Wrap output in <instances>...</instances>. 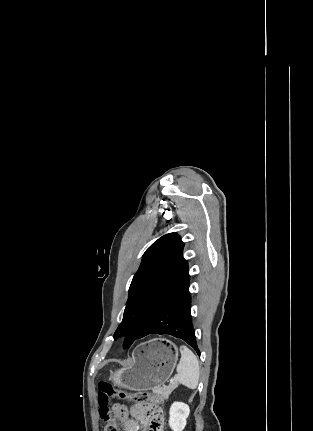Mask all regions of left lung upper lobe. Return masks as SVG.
Returning <instances> with one entry per match:
<instances>
[{
    "mask_svg": "<svg viewBox=\"0 0 313 431\" xmlns=\"http://www.w3.org/2000/svg\"><path fill=\"white\" fill-rule=\"evenodd\" d=\"M183 247L180 236L169 233L144 253L129 288L123 320L114 333L115 340L126 336L124 348L130 347L158 311L189 285Z\"/></svg>",
    "mask_w": 313,
    "mask_h": 431,
    "instance_id": "1",
    "label": "left lung upper lobe"
}]
</instances>
